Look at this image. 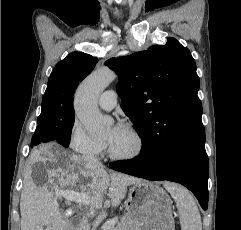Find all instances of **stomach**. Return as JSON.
<instances>
[{
    "label": "stomach",
    "mask_w": 241,
    "mask_h": 230,
    "mask_svg": "<svg viewBox=\"0 0 241 230\" xmlns=\"http://www.w3.org/2000/svg\"><path fill=\"white\" fill-rule=\"evenodd\" d=\"M129 216L137 222L136 230H174L172 202L158 185L139 181L131 186L125 202Z\"/></svg>",
    "instance_id": "obj_1"
}]
</instances>
